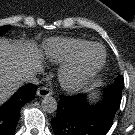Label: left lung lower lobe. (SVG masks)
Masks as SVG:
<instances>
[{
    "mask_svg": "<svg viewBox=\"0 0 135 135\" xmlns=\"http://www.w3.org/2000/svg\"><path fill=\"white\" fill-rule=\"evenodd\" d=\"M123 86L115 82L95 106L86 102L85 95L60 96L57 115L51 120L55 135H105L120 106Z\"/></svg>",
    "mask_w": 135,
    "mask_h": 135,
    "instance_id": "0a47b994",
    "label": "left lung lower lobe"
}]
</instances>
